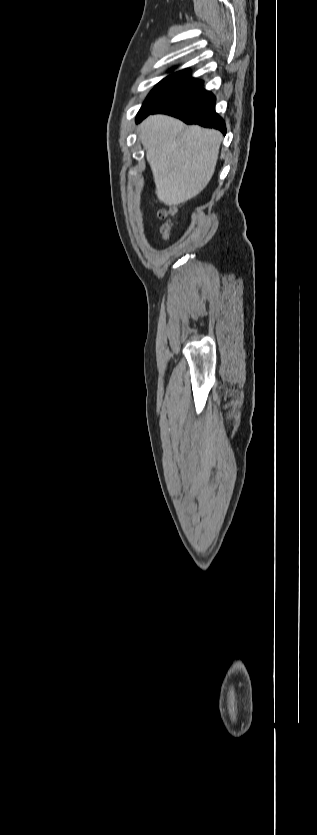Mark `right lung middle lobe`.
<instances>
[{
  "mask_svg": "<svg viewBox=\"0 0 317 835\" xmlns=\"http://www.w3.org/2000/svg\"><path fill=\"white\" fill-rule=\"evenodd\" d=\"M203 84V81L191 77L189 70L173 73L160 81L148 95L137 114L136 122L150 111L164 105L168 101L188 93Z\"/></svg>",
  "mask_w": 317,
  "mask_h": 835,
  "instance_id": "dd1d6c3e",
  "label": "right lung middle lobe"
}]
</instances>
